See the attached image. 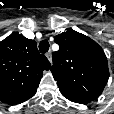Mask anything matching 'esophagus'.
I'll return each instance as SVG.
<instances>
[{
  "label": "esophagus",
  "instance_id": "esophagus-1",
  "mask_svg": "<svg viewBox=\"0 0 114 114\" xmlns=\"http://www.w3.org/2000/svg\"><path fill=\"white\" fill-rule=\"evenodd\" d=\"M46 57H47V59L49 60V62L52 63V54H51V52H48V53L46 54Z\"/></svg>",
  "mask_w": 114,
  "mask_h": 114
}]
</instances>
